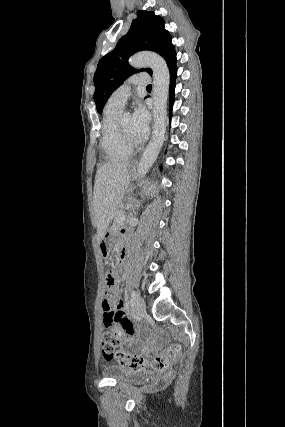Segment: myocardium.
Instances as JSON below:
<instances>
[{
	"label": "myocardium",
	"mask_w": 285,
	"mask_h": 427,
	"mask_svg": "<svg viewBox=\"0 0 285 427\" xmlns=\"http://www.w3.org/2000/svg\"><path fill=\"white\" fill-rule=\"evenodd\" d=\"M122 116L123 115H119L118 119H117V129L118 132L123 140V142L125 143V145L134 148L135 146L138 145V142L135 140H132L127 133L125 132L123 126H122Z\"/></svg>",
	"instance_id": "myocardium-1"
}]
</instances>
